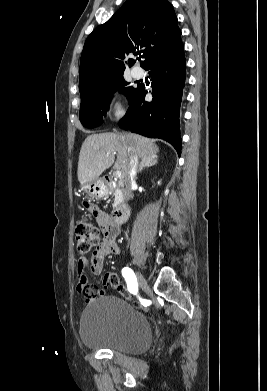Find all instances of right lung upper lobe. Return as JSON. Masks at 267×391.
<instances>
[{"instance_id": "right-lung-upper-lobe-1", "label": "right lung upper lobe", "mask_w": 267, "mask_h": 391, "mask_svg": "<svg viewBox=\"0 0 267 391\" xmlns=\"http://www.w3.org/2000/svg\"><path fill=\"white\" fill-rule=\"evenodd\" d=\"M182 43L172 5L167 0H127L87 38L80 59V94L125 70V57L143 53L145 68ZM135 60L129 59L131 67Z\"/></svg>"}]
</instances>
